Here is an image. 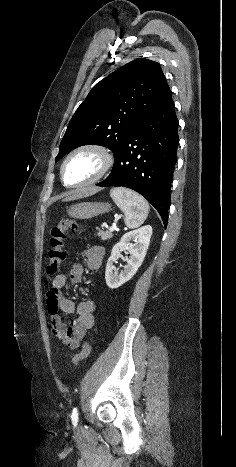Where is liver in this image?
Listing matches in <instances>:
<instances>
[{"label":"liver","mask_w":236,"mask_h":467,"mask_svg":"<svg viewBox=\"0 0 236 467\" xmlns=\"http://www.w3.org/2000/svg\"><path fill=\"white\" fill-rule=\"evenodd\" d=\"M98 191H99V188L83 187V188H80L79 190H76V191H73V192H70L69 194H67L65 196V198L63 199V201L77 200V199H80V198H83V197L93 195Z\"/></svg>","instance_id":"1"}]
</instances>
